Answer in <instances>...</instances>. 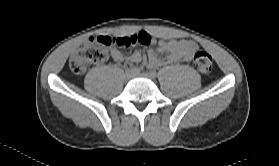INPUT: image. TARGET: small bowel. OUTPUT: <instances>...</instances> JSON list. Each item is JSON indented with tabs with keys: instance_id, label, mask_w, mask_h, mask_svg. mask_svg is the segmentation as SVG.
Masks as SVG:
<instances>
[{
	"instance_id": "obj_1",
	"label": "small bowel",
	"mask_w": 279,
	"mask_h": 166,
	"mask_svg": "<svg viewBox=\"0 0 279 166\" xmlns=\"http://www.w3.org/2000/svg\"><path fill=\"white\" fill-rule=\"evenodd\" d=\"M141 35H144L148 38V43L142 45L147 46L149 44H155L156 49L148 50L146 59L139 52L133 53L127 58V60L132 64L146 62L149 68H157L162 64L161 60L157 56L158 52L167 53V61L169 63H175L178 61L189 62L192 59L194 51L197 49V44L193 41L186 39L157 41L145 31H141L128 37L138 38ZM111 57L115 62H122L126 59L124 54L117 48H114L111 51Z\"/></svg>"
}]
</instances>
